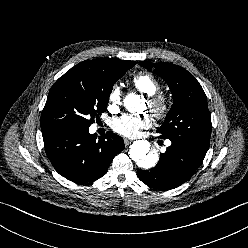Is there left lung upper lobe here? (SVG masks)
Masks as SVG:
<instances>
[{
	"mask_svg": "<svg viewBox=\"0 0 248 248\" xmlns=\"http://www.w3.org/2000/svg\"><path fill=\"white\" fill-rule=\"evenodd\" d=\"M140 65L162 77L169 85L174 100L159 137L206 154L211 135V116L206 95L198 81L184 68L171 63L141 61Z\"/></svg>",
	"mask_w": 248,
	"mask_h": 248,
	"instance_id": "1",
	"label": "left lung upper lobe"
}]
</instances>
